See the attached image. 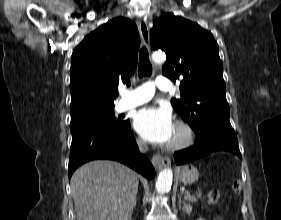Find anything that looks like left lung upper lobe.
<instances>
[{
	"label": "left lung upper lobe",
	"mask_w": 281,
	"mask_h": 220,
	"mask_svg": "<svg viewBox=\"0 0 281 220\" xmlns=\"http://www.w3.org/2000/svg\"><path fill=\"white\" fill-rule=\"evenodd\" d=\"M154 50L165 51L164 76L182 79L180 99L171 104L194 131L212 125H230L225 95L223 64L218 44L211 32L197 23L165 13L153 23L150 32Z\"/></svg>",
	"instance_id": "5c2ea615"
}]
</instances>
